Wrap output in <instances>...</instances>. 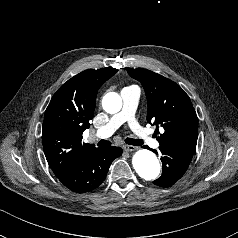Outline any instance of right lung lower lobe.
<instances>
[{"label": "right lung lower lobe", "instance_id": "98d812e1", "mask_svg": "<svg viewBox=\"0 0 238 238\" xmlns=\"http://www.w3.org/2000/svg\"><path fill=\"white\" fill-rule=\"evenodd\" d=\"M121 154V147L95 148L86 154L72 170L58 179L73 192H90L105 180L110 164Z\"/></svg>", "mask_w": 238, "mask_h": 238}]
</instances>
